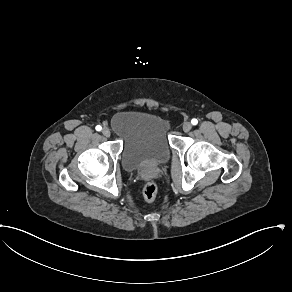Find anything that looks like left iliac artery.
Here are the masks:
<instances>
[{
	"label": "left iliac artery",
	"instance_id": "obj_1",
	"mask_svg": "<svg viewBox=\"0 0 292 292\" xmlns=\"http://www.w3.org/2000/svg\"><path fill=\"white\" fill-rule=\"evenodd\" d=\"M191 123H192L193 125H197V123H198V120H197V119H195V118H193V119L191 120Z\"/></svg>",
	"mask_w": 292,
	"mask_h": 292
}]
</instances>
